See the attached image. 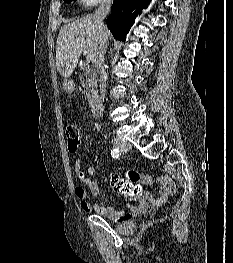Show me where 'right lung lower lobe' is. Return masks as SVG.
I'll use <instances>...</instances> for the list:
<instances>
[{
	"mask_svg": "<svg viewBox=\"0 0 233 263\" xmlns=\"http://www.w3.org/2000/svg\"><path fill=\"white\" fill-rule=\"evenodd\" d=\"M149 2L150 0H114L112 13L107 18V27L117 40L125 41L135 18L142 9L147 8Z\"/></svg>",
	"mask_w": 233,
	"mask_h": 263,
	"instance_id": "1",
	"label": "right lung lower lobe"
}]
</instances>
